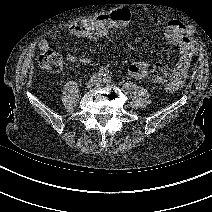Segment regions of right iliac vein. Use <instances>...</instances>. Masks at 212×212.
I'll list each match as a JSON object with an SVG mask.
<instances>
[{
	"label": "right iliac vein",
	"mask_w": 212,
	"mask_h": 212,
	"mask_svg": "<svg viewBox=\"0 0 212 212\" xmlns=\"http://www.w3.org/2000/svg\"><path fill=\"white\" fill-rule=\"evenodd\" d=\"M95 82H96V79H95V78L90 79V80L87 82V87H88V88L93 87L94 84H95Z\"/></svg>",
	"instance_id": "1"
}]
</instances>
